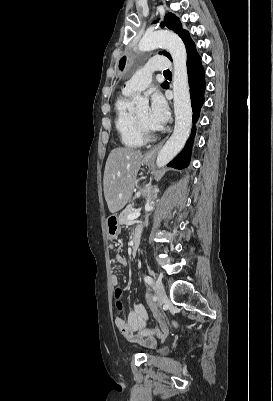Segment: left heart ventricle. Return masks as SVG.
<instances>
[{
	"mask_svg": "<svg viewBox=\"0 0 273 401\" xmlns=\"http://www.w3.org/2000/svg\"><path fill=\"white\" fill-rule=\"evenodd\" d=\"M135 114L138 116V118H139L147 127L150 128V126H149V124H148V120H147L148 111H147L146 108H145V109H142V110H140V111H138V112L135 113Z\"/></svg>",
	"mask_w": 273,
	"mask_h": 401,
	"instance_id": "obj_1",
	"label": "left heart ventricle"
}]
</instances>
